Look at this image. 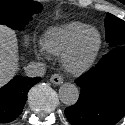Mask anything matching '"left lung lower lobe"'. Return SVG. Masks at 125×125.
I'll return each mask as SVG.
<instances>
[{"label": "left lung lower lobe", "mask_w": 125, "mask_h": 125, "mask_svg": "<svg viewBox=\"0 0 125 125\" xmlns=\"http://www.w3.org/2000/svg\"><path fill=\"white\" fill-rule=\"evenodd\" d=\"M75 83L78 101L65 109L72 125H115L125 116V45L114 47Z\"/></svg>", "instance_id": "left-lung-lower-lobe-1"}]
</instances>
